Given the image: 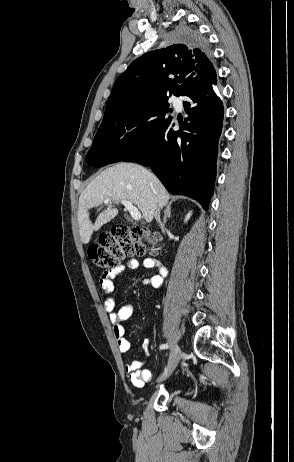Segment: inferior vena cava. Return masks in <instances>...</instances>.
I'll list each match as a JSON object with an SVG mask.
<instances>
[{
	"mask_svg": "<svg viewBox=\"0 0 294 462\" xmlns=\"http://www.w3.org/2000/svg\"><path fill=\"white\" fill-rule=\"evenodd\" d=\"M154 217L157 220V222L160 224V226L162 227V223L160 221V208L159 207L155 208Z\"/></svg>",
	"mask_w": 294,
	"mask_h": 462,
	"instance_id": "602c4592",
	"label": "inferior vena cava"
}]
</instances>
